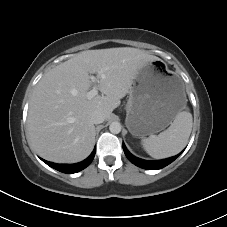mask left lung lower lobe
Returning <instances> with one entry per match:
<instances>
[{"label": "left lung lower lobe", "instance_id": "left-lung-lower-lobe-1", "mask_svg": "<svg viewBox=\"0 0 227 227\" xmlns=\"http://www.w3.org/2000/svg\"><path fill=\"white\" fill-rule=\"evenodd\" d=\"M123 150L126 155V157L129 159L130 162L135 164L136 166L143 168V169H148V170H157L164 168L165 166L169 165L171 162H173L180 154L164 159V160H159V161H147L143 160L140 158H137L133 156L126 148L125 144L123 143Z\"/></svg>", "mask_w": 227, "mask_h": 227}]
</instances>
